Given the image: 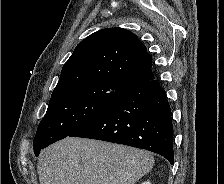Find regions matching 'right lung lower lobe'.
Here are the masks:
<instances>
[{
  "mask_svg": "<svg viewBox=\"0 0 224 184\" xmlns=\"http://www.w3.org/2000/svg\"><path fill=\"white\" fill-rule=\"evenodd\" d=\"M69 136L142 148L174 162L171 109L155 79L130 87L103 113Z\"/></svg>",
  "mask_w": 224,
  "mask_h": 184,
  "instance_id": "1",
  "label": "right lung lower lobe"
}]
</instances>
